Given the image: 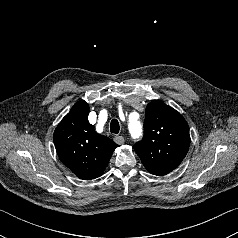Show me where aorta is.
<instances>
[{"label": "aorta", "instance_id": "aorta-1", "mask_svg": "<svg viewBox=\"0 0 238 238\" xmlns=\"http://www.w3.org/2000/svg\"><path fill=\"white\" fill-rule=\"evenodd\" d=\"M129 131L133 139H138L142 134V124L134 113L129 115Z\"/></svg>", "mask_w": 238, "mask_h": 238}]
</instances>
